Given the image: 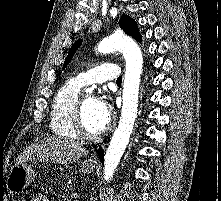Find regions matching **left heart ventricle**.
Returning <instances> with one entry per match:
<instances>
[{"label": "left heart ventricle", "instance_id": "1", "mask_svg": "<svg viewBox=\"0 0 221 201\" xmlns=\"http://www.w3.org/2000/svg\"><path fill=\"white\" fill-rule=\"evenodd\" d=\"M104 116L99 101L91 96L84 99L83 123L89 133L101 131L108 123Z\"/></svg>", "mask_w": 221, "mask_h": 201}]
</instances>
